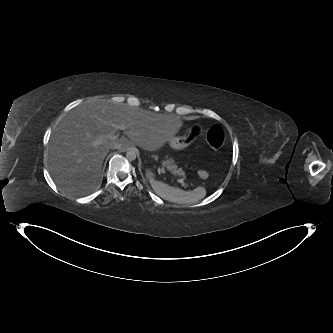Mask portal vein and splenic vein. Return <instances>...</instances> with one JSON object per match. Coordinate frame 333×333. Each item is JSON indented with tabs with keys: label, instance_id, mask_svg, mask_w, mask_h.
I'll return each mask as SVG.
<instances>
[{
	"label": "portal vein and splenic vein",
	"instance_id": "portal-vein-and-splenic-vein-1",
	"mask_svg": "<svg viewBox=\"0 0 333 333\" xmlns=\"http://www.w3.org/2000/svg\"><path fill=\"white\" fill-rule=\"evenodd\" d=\"M118 129L121 131L126 130V126L125 125H120L118 126ZM119 137V134H108L106 135V138H110V139H117ZM96 144H101V140H97L95 142Z\"/></svg>",
	"mask_w": 333,
	"mask_h": 333
}]
</instances>
